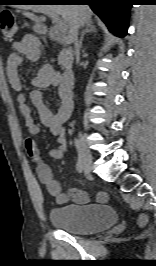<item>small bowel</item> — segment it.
Segmentation results:
<instances>
[{
  "label": "small bowel",
  "mask_w": 156,
  "mask_h": 266,
  "mask_svg": "<svg viewBox=\"0 0 156 266\" xmlns=\"http://www.w3.org/2000/svg\"><path fill=\"white\" fill-rule=\"evenodd\" d=\"M15 51L12 52L6 61V75L10 86L17 92V102L19 110L24 117L25 126L30 137L24 141V147L27 155L35 164V171L39 181L45 186L47 192L55 199L58 205H64L69 200L77 204H87L90 198L86 192L77 188H70L67 193L62 192L60 183L54 179L50 166L44 162L40 156L39 148L32 136L39 133V126L34 122L31 115V107L27 99L37 110L41 123L46 126L56 137L58 147L49 152L50 157L59 159L63 156L67 148L65 138V123L71 116L73 110V101L71 91L64 89L60 85V78L50 66H42L35 78L33 85L37 88L28 95L21 91L20 68L23 64V56L29 60H36L40 55V49L37 39L32 35H25L19 42L14 44ZM52 85H58V109L53 113L44 103V96L41 91ZM108 200V194L105 191H99L95 195V201L105 203Z\"/></svg>",
  "instance_id": "obj_1"
}]
</instances>
